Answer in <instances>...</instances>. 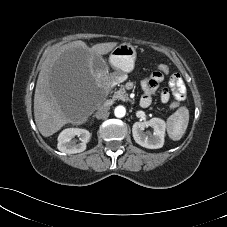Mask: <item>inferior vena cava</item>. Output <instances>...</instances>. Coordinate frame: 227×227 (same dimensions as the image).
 <instances>
[{"label": "inferior vena cava", "mask_w": 227, "mask_h": 227, "mask_svg": "<svg viewBox=\"0 0 227 227\" xmlns=\"http://www.w3.org/2000/svg\"><path fill=\"white\" fill-rule=\"evenodd\" d=\"M109 106H101L99 107L98 111L96 112L95 116L97 119H102L108 114Z\"/></svg>", "instance_id": "1"}]
</instances>
